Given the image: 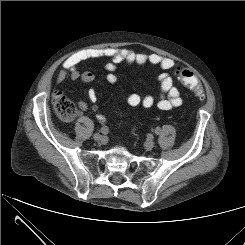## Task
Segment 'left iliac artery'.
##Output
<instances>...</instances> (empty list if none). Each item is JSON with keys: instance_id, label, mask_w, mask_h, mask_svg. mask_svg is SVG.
<instances>
[{"instance_id": "obj_1", "label": "left iliac artery", "mask_w": 245, "mask_h": 245, "mask_svg": "<svg viewBox=\"0 0 245 245\" xmlns=\"http://www.w3.org/2000/svg\"><path fill=\"white\" fill-rule=\"evenodd\" d=\"M156 134H159V129L156 130Z\"/></svg>"}]
</instances>
